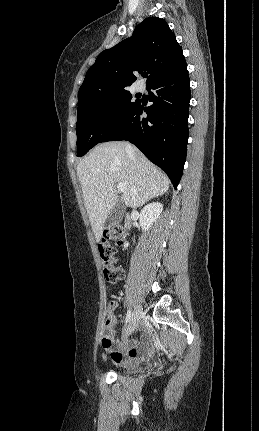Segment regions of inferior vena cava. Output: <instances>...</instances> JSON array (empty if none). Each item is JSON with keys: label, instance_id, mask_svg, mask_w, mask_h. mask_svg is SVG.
<instances>
[{"label": "inferior vena cava", "instance_id": "1", "mask_svg": "<svg viewBox=\"0 0 259 431\" xmlns=\"http://www.w3.org/2000/svg\"><path fill=\"white\" fill-rule=\"evenodd\" d=\"M126 150L128 152H132L133 151V147L131 145H127Z\"/></svg>", "mask_w": 259, "mask_h": 431}]
</instances>
